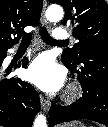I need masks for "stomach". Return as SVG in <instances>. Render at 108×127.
Returning a JSON list of instances; mask_svg holds the SVG:
<instances>
[{"instance_id": "0dacf381", "label": "stomach", "mask_w": 108, "mask_h": 127, "mask_svg": "<svg viewBox=\"0 0 108 127\" xmlns=\"http://www.w3.org/2000/svg\"><path fill=\"white\" fill-rule=\"evenodd\" d=\"M59 127H85V125L81 121H72L62 124Z\"/></svg>"}]
</instances>
